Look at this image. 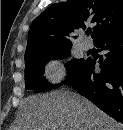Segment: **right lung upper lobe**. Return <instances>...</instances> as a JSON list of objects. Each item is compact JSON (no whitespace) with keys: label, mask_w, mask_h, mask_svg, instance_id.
<instances>
[{"label":"right lung upper lobe","mask_w":123,"mask_h":130,"mask_svg":"<svg viewBox=\"0 0 123 130\" xmlns=\"http://www.w3.org/2000/svg\"><path fill=\"white\" fill-rule=\"evenodd\" d=\"M92 23L93 39L123 25V0H68L51 5L31 25L25 58L71 47L66 37Z\"/></svg>","instance_id":"1"}]
</instances>
